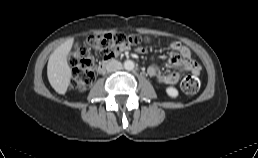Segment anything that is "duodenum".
Instances as JSON below:
<instances>
[{
	"label": "duodenum",
	"instance_id": "duodenum-1",
	"mask_svg": "<svg viewBox=\"0 0 258 158\" xmlns=\"http://www.w3.org/2000/svg\"><path fill=\"white\" fill-rule=\"evenodd\" d=\"M115 60L114 57H107L105 58L97 67V73H102L105 71L106 67L108 66V64H110L111 62H113Z\"/></svg>",
	"mask_w": 258,
	"mask_h": 158
}]
</instances>
